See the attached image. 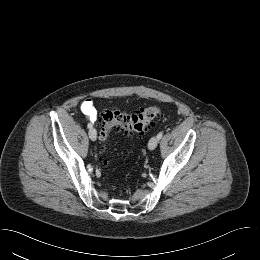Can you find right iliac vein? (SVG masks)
Returning <instances> with one entry per match:
<instances>
[{
  "label": "right iliac vein",
  "mask_w": 260,
  "mask_h": 260,
  "mask_svg": "<svg viewBox=\"0 0 260 260\" xmlns=\"http://www.w3.org/2000/svg\"><path fill=\"white\" fill-rule=\"evenodd\" d=\"M89 137L92 141H95L97 138V132L94 128H90L89 130Z\"/></svg>",
  "instance_id": "63e3f726"
}]
</instances>
